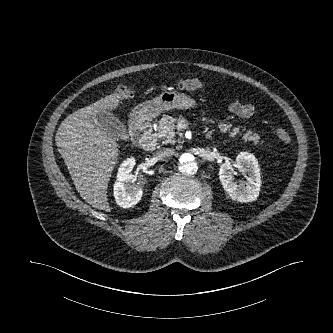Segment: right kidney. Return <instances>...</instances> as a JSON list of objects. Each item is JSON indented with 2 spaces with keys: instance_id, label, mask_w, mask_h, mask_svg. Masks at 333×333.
Returning a JSON list of instances; mask_svg holds the SVG:
<instances>
[{
  "instance_id": "obj_1",
  "label": "right kidney",
  "mask_w": 333,
  "mask_h": 333,
  "mask_svg": "<svg viewBox=\"0 0 333 333\" xmlns=\"http://www.w3.org/2000/svg\"><path fill=\"white\" fill-rule=\"evenodd\" d=\"M134 165L135 159L133 158L124 161L119 168L118 179L114 184L113 193L116 203L123 208L136 205L142 198L145 180L143 176H139L138 183L134 184L137 178L130 174Z\"/></svg>"
}]
</instances>
